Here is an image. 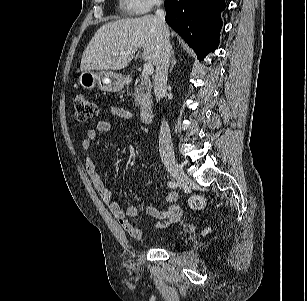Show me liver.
Wrapping results in <instances>:
<instances>
[{
    "mask_svg": "<svg viewBox=\"0 0 307 301\" xmlns=\"http://www.w3.org/2000/svg\"><path fill=\"white\" fill-rule=\"evenodd\" d=\"M168 32L172 37L173 32ZM162 37V24L154 15L119 19L104 24L83 52L81 71L119 70L127 67L134 54L114 56V52L143 49L144 61L157 65Z\"/></svg>",
    "mask_w": 307,
    "mask_h": 301,
    "instance_id": "obj_1",
    "label": "liver"
}]
</instances>
